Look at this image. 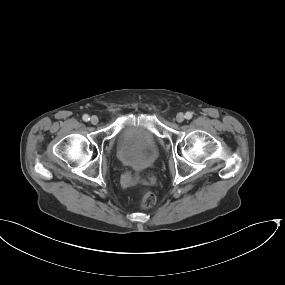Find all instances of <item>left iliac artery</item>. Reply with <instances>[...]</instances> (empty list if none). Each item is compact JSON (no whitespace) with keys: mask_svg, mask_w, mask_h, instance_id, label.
<instances>
[{"mask_svg":"<svg viewBox=\"0 0 285 285\" xmlns=\"http://www.w3.org/2000/svg\"><path fill=\"white\" fill-rule=\"evenodd\" d=\"M192 113L191 112H187L186 114H185V118L186 119H188V120H190L191 118H192Z\"/></svg>","mask_w":285,"mask_h":285,"instance_id":"1","label":"left iliac artery"}]
</instances>
